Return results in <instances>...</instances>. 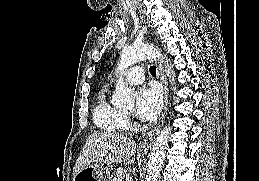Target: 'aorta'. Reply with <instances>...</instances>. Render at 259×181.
Segmentation results:
<instances>
[{
	"mask_svg": "<svg viewBox=\"0 0 259 181\" xmlns=\"http://www.w3.org/2000/svg\"><path fill=\"white\" fill-rule=\"evenodd\" d=\"M151 57H157L162 62H167L165 65L166 72L170 78V82L173 84L175 73L171 65L168 64L167 60L164 61L165 58L160 51L149 44H133L132 46L123 48L120 55L118 70L123 72L129 66ZM134 102V92L132 89L125 86L122 77H120L117 81L116 89L112 96V104L117 107L132 108L134 106ZM170 133L171 127L167 126L163 128V130L158 135L149 155L147 176L145 181H158L166 150L168 148Z\"/></svg>",
	"mask_w": 259,
	"mask_h": 181,
	"instance_id": "aorta-1",
	"label": "aorta"
}]
</instances>
